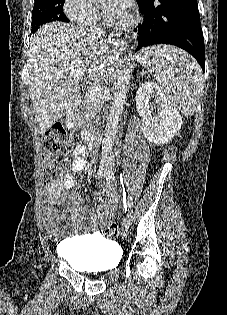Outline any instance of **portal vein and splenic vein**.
Returning <instances> with one entry per match:
<instances>
[{
    "label": "portal vein and splenic vein",
    "mask_w": 227,
    "mask_h": 315,
    "mask_svg": "<svg viewBox=\"0 0 227 315\" xmlns=\"http://www.w3.org/2000/svg\"><path fill=\"white\" fill-rule=\"evenodd\" d=\"M82 62L80 61H75L73 64L75 66H79ZM101 89L98 86H94L88 89V92L90 93L91 96L96 95Z\"/></svg>",
    "instance_id": "1"
}]
</instances>
